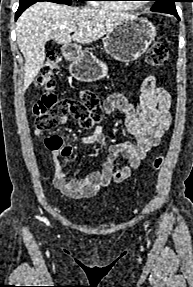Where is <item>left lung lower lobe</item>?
Instances as JSON below:
<instances>
[{
  "label": "left lung lower lobe",
  "instance_id": "left-lung-lower-lobe-1",
  "mask_svg": "<svg viewBox=\"0 0 193 287\" xmlns=\"http://www.w3.org/2000/svg\"><path fill=\"white\" fill-rule=\"evenodd\" d=\"M169 14H172L174 15L175 17H177L179 19V16H178V13L177 11H172V12H169Z\"/></svg>",
  "mask_w": 193,
  "mask_h": 287
}]
</instances>
